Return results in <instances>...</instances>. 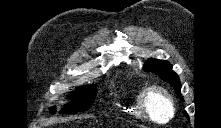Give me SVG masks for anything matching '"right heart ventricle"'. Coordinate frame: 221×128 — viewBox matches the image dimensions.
<instances>
[{"instance_id": "obj_1", "label": "right heart ventricle", "mask_w": 221, "mask_h": 128, "mask_svg": "<svg viewBox=\"0 0 221 128\" xmlns=\"http://www.w3.org/2000/svg\"><path fill=\"white\" fill-rule=\"evenodd\" d=\"M143 90H144V87H141L135 93V95L131 98V100L128 101V103H126L124 105V110L123 111L126 114L135 115V116H141L142 115L140 99H141V94H142Z\"/></svg>"}]
</instances>
